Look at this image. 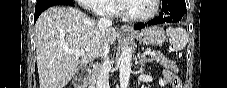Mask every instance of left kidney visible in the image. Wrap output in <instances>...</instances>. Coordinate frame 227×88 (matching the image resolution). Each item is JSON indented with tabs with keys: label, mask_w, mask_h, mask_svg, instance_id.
Here are the masks:
<instances>
[{
	"label": "left kidney",
	"mask_w": 227,
	"mask_h": 88,
	"mask_svg": "<svg viewBox=\"0 0 227 88\" xmlns=\"http://www.w3.org/2000/svg\"><path fill=\"white\" fill-rule=\"evenodd\" d=\"M159 84H160V86H164L165 85V81H163V79H160L159 80Z\"/></svg>",
	"instance_id": "obj_1"
}]
</instances>
